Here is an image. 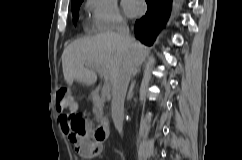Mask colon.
Listing matches in <instances>:
<instances>
[{"label": "colon", "mask_w": 242, "mask_h": 160, "mask_svg": "<svg viewBox=\"0 0 242 160\" xmlns=\"http://www.w3.org/2000/svg\"><path fill=\"white\" fill-rule=\"evenodd\" d=\"M56 107L60 112H69L61 118L66 122L69 132L76 136H82L87 128V121L81 113L72 110V97L69 89L64 85H60L57 88ZM90 144L92 146L87 155L95 157L100 152V145L94 141L90 142Z\"/></svg>", "instance_id": "colon-1"}]
</instances>
